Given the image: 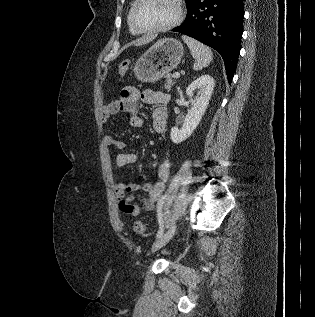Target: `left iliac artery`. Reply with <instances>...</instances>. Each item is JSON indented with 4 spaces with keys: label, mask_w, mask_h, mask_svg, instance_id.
Wrapping results in <instances>:
<instances>
[{
    "label": "left iliac artery",
    "mask_w": 315,
    "mask_h": 317,
    "mask_svg": "<svg viewBox=\"0 0 315 317\" xmlns=\"http://www.w3.org/2000/svg\"><path fill=\"white\" fill-rule=\"evenodd\" d=\"M164 203V197H162L157 204V217L159 221V230L157 232L156 237L159 238L163 232H164V225H163V219H162V206Z\"/></svg>",
    "instance_id": "44dca946"
}]
</instances>
